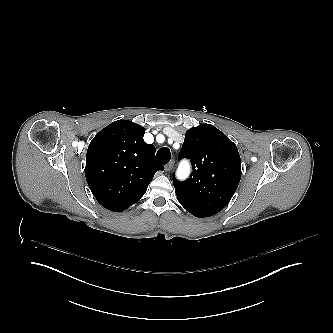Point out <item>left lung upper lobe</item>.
Segmentation results:
<instances>
[{
    "label": "left lung upper lobe",
    "instance_id": "left-lung-upper-lobe-1",
    "mask_svg": "<svg viewBox=\"0 0 333 333\" xmlns=\"http://www.w3.org/2000/svg\"><path fill=\"white\" fill-rule=\"evenodd\" d=\"M192 163L190 178L173 179L177 200L212 213L221 211L234 195L241 179V160L237 146L210 124L189 129L179 153Z\"/></svg>",
    "mask_w": 333,
    "mask_h": 333
}]
</instances>
